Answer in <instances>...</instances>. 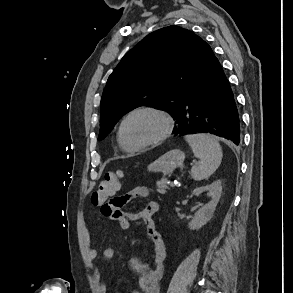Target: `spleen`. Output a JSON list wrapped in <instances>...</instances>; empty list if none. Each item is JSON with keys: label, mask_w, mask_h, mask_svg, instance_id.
I'll use <instances>...</instances> for the list:
<instances>
[{"label": "spleen", "mask_w": 293, "mask_h": 293, "mask_svg": "<svg viewBox=\"0 0 293 293\" xmlns=\"http://www.w3.org/2000/svg\"><path fill=\"white\" fill-rule=\"evenodd\" d=\"M185 140L191 147L195 157L200 161L191 169L194 180L200 181L211 176L221 164L222 149L219 142L209 134H190Z\"/></svg>", "instance_id": "spleen-1"}]
</instances>
